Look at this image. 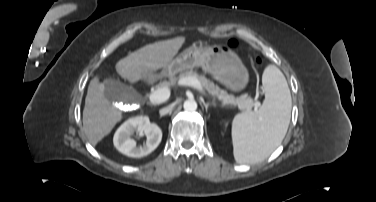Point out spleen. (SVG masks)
<instances>
[{
	"instance_id": "spleen-1",
	"label": "spleen",
	"mask_w": 376,
	"mask_h": 202,
	"mask_svg": "<svg viewBox=\"0 0 376 202\" xmlns=\"http://www.w3.org/2000/svg\"><path fill=\"white\" fill-rule=\"evenodd\" d=\"M262 84L265 100L261 108L237 114L232 121L233 153L238 163L267 158L282 143L289 126L292 100L284 74L268 65Z\"/></svg>"
}]
</instances>
